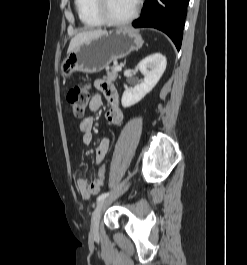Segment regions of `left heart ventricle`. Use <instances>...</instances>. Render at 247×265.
<instances>
[{"label":"left heart ventricle","mask_w":247,"mask_h":265,"mask_svg":"<svg viewBox=\"0 0 247 265\" xmlns=\"http://www.w3.org/2000/svg\"><path fill=\"white\" fill-rule=\"evenodd\" d=\"M137 0H108V10L112 17L124 19L134 10Z\"/></svg>","instance_id":"obj_1"}]
</instances>
